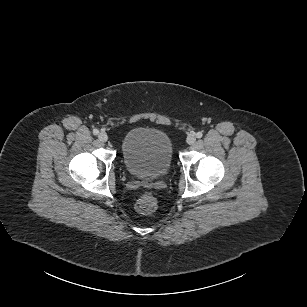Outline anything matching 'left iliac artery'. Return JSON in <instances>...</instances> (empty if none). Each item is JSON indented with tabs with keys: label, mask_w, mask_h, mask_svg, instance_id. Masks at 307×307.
I'll use <instances>...</instances> for the list:
<instances>
[{
	"label": "left iliac artery",
	"mask_w": 307,
	"mask_h": 307,
	"mask_svg": "<svg viewBox=\"0 0 307 307\" xmlns=\"http://www.w3.org/2000/svg\"><path fill=\"white\" fill-rule=\"evenodd\" d=\"M202 136H203L202 132H197V133H196V137H197V138H201Z\"/></svg>",
	"instance_id": "left-iliac-artery-1"
}]
</instances>
